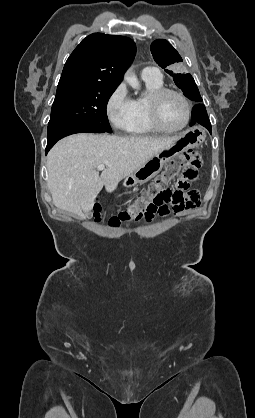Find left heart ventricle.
Returning <instances> with one entry per match:
<instances>
[{
	"mask_svg": "<svg viewBox=\"0 0 255 418\" xmlns=\"http://www.w3.org/2000/svg\"><path fill=\"white\" fill-rule=\"evenodd\" d=\"M186 118L184 102L176 95H167L161 103V120L168 128L181 126Z\"/></svg>",
	"mask_w": 255,
	"mask_h": 418,
	"instance_id": "left-heart-ventricle-1",
	"label": "left heart ventricle"
}]
</instances>
